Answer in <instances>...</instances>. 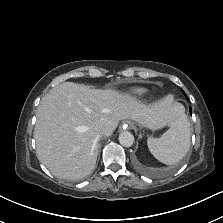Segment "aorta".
<instances>
[{
  "label": "aorta",
  "mask_w": 223,
  "mask_h": 223,
  "mask_svg": "<svg viewBox=\"0 0 223 223\" xmlns=\"http://www.w3.org/2000/svg\"><path fill=\"white\" fill-rule=\"evenodd\" d=\"M118 139L120 144L124 147H130L134 143V136L128 131L120 133Z\"/></svg>",
  "instance_id": "762f6f07"
}]
</instances>
